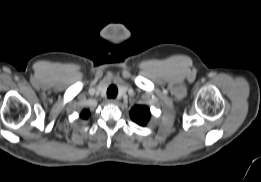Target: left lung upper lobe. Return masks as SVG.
<instances>
[{"mask_svg": "<svg viewBox=\"0 0 261 182\" xmlns=\"http://www.w3.org/2000/svg\"><path fill=\"white\" fill-rule=\"evenodd\" d=\"M130 116L134 122L145 126L150 118V110L146 106L137 105L131 109Z\"/></svg>", "mask_w": 261, "mask_h": 182, "instance_id": "obj_1", "label": "left lung upper lobe"}]
</instances>
